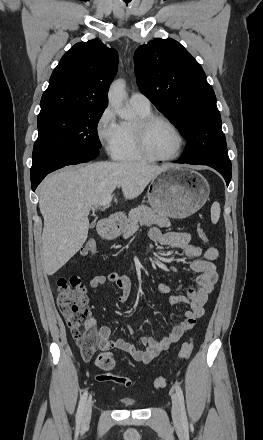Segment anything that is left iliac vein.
I'll use <instances>...</instances> for the list:
<instances>
[{"mask_svg":"<svg viewBox=\"0 0 263 440\" xmlns=\"http://www.w3.org/2000/svg\"><path fill=\"white\" fill-rule=\"evenodd\" d=\"M172 418L175 423H181L182 421V411L179 399L176 395L172 396Z\"/></svg>","mask_w":263,"mask_h":440,"instance_id":"obj_1","label":"left iliac vein"}]
</instances>
